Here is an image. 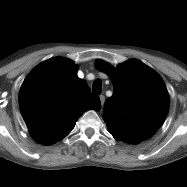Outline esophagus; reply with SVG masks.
Returning <instances> with one entry per match:
<instances>
[{
  "label": "esophagus",
  "mask_w": 187,
  "mask_h": 187,
  "mask_svg": "<svg viewBox=\"0 0 187 187\" xmlns=\"http://www.w3.org/2000/svg\"><path fill=\"white\" fill-rule=\"evenodd\" d=\"M99 98H100L101 106L103 107L104 102H105V96L104 95H100Z\"/></svg>",
  "instance_id": "obj_1"
}]
</instances>
